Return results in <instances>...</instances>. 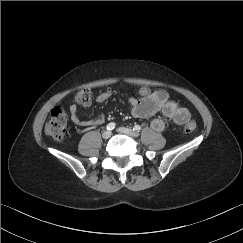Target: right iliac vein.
I'll list each match as a JSON object with an SVG mask.
<instances>
[{"label": "right iliac vein", "instance_id": "1", "mask_svg": "<svg viewBox=\"0 0 243 243\" xmlns=\"http://www.w3.org/2000/svg\"><path fill=\"white\" fill-rule=\"evenodd\" d=\"M111 136V131H104L103 134H102V137L104 139H108L109 137Z\"/></svg>", "mask_w": 243, "mask_h": 243}]
</instances>
